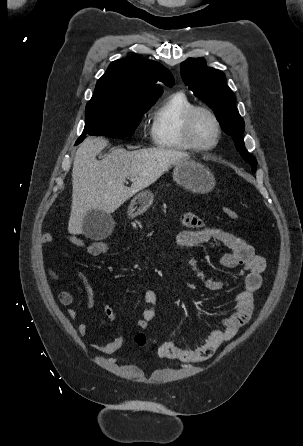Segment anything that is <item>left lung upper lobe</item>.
<instances>
[{
	"label": "left lung upper lobe",
	"instance_id": "left-lung-upper-lobe-1",
	"mask_svg": "<svg viewBox=\"0 0 303 446\" xmlns=\"http://www.w3.org/2000/svg\"><path fill=\"white\" fill-rule=\"evenodd\" d=\"M180 67L184 83L215 112L220 126L233 137L237 150L255 172L257 161L245 148L242 137L245 124L225 75L220 70L207 67L203 58H188Z\"/></svg>",
	"mask_w": 303,
	"mask_h": 446
}]
</instances>
